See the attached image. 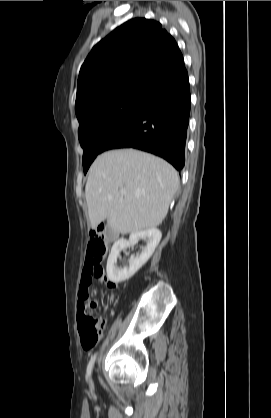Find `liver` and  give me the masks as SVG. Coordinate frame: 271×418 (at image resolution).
<instances>
[{
	"instance_id": "obj_1",
	"label": "liver",
	"mask_w": 271,
	"mask_h": 418,
	"mask_svg": "<svg viewBox=\"0 0 271 418\" xmlns=\"http://www.w3.org/2000/svg\"><path fill=\"white\" fill-rule=\"evenodd\" d=\"M178 186L177 171L159 157L134 149L105 152L92 163L85 186L91 227L106 219L115 233L155 228Z\"/></svg>"
}]
</instances>
